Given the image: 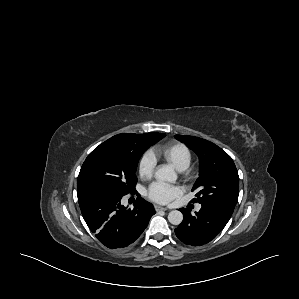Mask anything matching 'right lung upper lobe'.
Returning a JSON list of instances; mask_svg holds the SVG:
<instances>
[{
    "label": "right lung upper lobe",
    "mask_w": 299,
    "mask_h": 299,
    "mask_svg": "<svg viewBox=\"0 0 299 299\" xmlns=\"http://www.w3.org/2000/svg\"><path fill=\"white\" fill-rule=\"evenodd\" d=\"M144 135L145 134L133 133L118 134L110 138V140L126 150H135L140 145L141 139Z\"/></svg>",
    "instance_id": "cb5924a9"
}]
</instances>
